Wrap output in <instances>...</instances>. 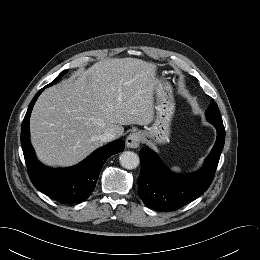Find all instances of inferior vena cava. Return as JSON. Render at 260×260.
<instances>
[{
  "label": "inferior vena cava",
  "mask_w": 260,
  "mask_h": 260,
  "mask_svg": "<svg viewBox=\"0 0 260 260\" xmlns=\"http://www.w3.org/2000/svg\"><path fill=\"white\" fill-rule=\"evenodd\" d=\"M115 138H116V135L113 132H110V131L104 132L103 134L100 135V141L102 143L109 142V141H111Z\"/></svg>",
  "instance_id": "1"
}]
</instances>
